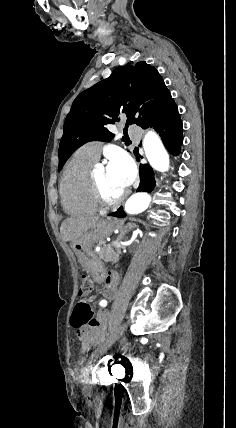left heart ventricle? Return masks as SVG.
Masks as SVG:
<instances>
[{
	"instance_id": "obj_1",
	"label": "left heart ventricle",
	"mask_w": 236,
	"mask_h": 428,
	"mask_svg": "<svg viewBox=\"0 0 236 428\" xmlns=\"http://www.w3.org/2000/svg\"><path fill=\"white\" fill-rule=\"evenodd\" d=\"M96 175L100 180L104 193L111 199L118 198L127 189L122 185L119 179L109 173L108 168L97 171Z\"/></svg>"
}]
</instances>
